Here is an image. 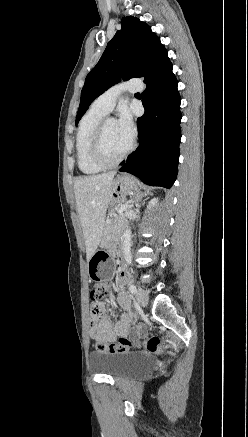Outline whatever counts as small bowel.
Masks as SVG:
<instances>
[{
	"label": "small bowel",
	"instance_id": "c3829d8e",
	"mask_svg": "<svg viewBox=\"0 0 248 437\" xmlns=\"http://www.w3.org/2000/svg\"><path fill=\"white\" fill-rule=\"evenodd\" d=\"M128 281V273L121 270L118 276V293L117 302L126 311L122 314L115 325H113L105 314L103 303H95L91 308L89 336L98 342L112 343L117 337H123L128 334L131 322L130 300L123 291V286Z\"/></svg>",
	"mask_w": 248,
	"mask_h": 437
}]
</instances>
